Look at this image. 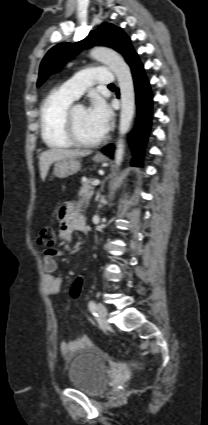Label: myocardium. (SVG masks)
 <instances>
[{
    "label": "myocardium",
    "mask_w": 208,
    "mask_h": 425,
    "mask_svg": "<svg viewBox=\"0 0 208 425\" xmlns=\"http://www.w3.org/2000/svg\"><path fill=\"white\" fill-rule=\"evenodd\" d=\"M77 107H83V106L78 104L71 105L65 113V127H66V135L68 139L71 141V143L74 146L80 147V148H93L100 145L104 140L103 137L95 141H83L78 136L76 127H75V121H74V112Z\"/></svg>",
    "instance_id": "obj_1"
}]
</instances>
